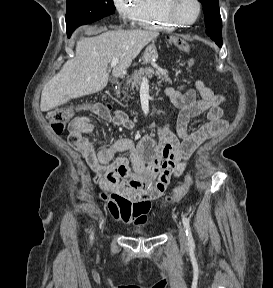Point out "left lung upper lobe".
I'll return each instance as SVG.
<instances>
[{
    "mask_svg": "<svg viewBox=\"0 0 273 288\" xmlns=\"http://www.w3.org/2000/svg\"><path fill=\"white\" fill-rule=\"evenodd\" d=\"M203 6L206 33L215 41L222 42V20L218 0H199Z\"/></svg>",
    "mask_w": 273,
    "mask_h": 288,
    "instance_id": "5c2ea615",
    "label": "left lung upper lobe"
}]
</instances>
